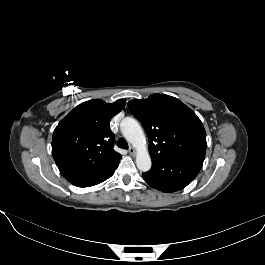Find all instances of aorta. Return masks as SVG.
<instances>
[{"label": "aorta", "instance_id": "obj_1", "mask_svg": "<svg viewBox=\"0 0 265 265\" xmlns=\"http://www.w3.org/2000/svg\"><path fill=\"white\" fill-rule=\"evenodd\" d=\"M122 135L129 141L137 150L136 165L142 172H147L151 169L152 161L146 146V139L143 129L139 123L133 118H124L120 124Z\"/></svg>", "mask_w": 265, "mask_h": 265}]
</instances>
